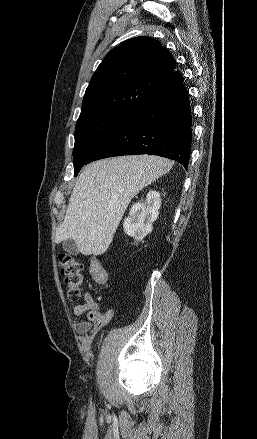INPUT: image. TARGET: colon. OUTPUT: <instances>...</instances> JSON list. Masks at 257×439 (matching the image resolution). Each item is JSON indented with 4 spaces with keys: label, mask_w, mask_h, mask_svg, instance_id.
<instances>
[{
    "label": "colon",
    "mask_w": 257,
    "mask_h": 439,
    "mask_svg": "<svg viewBox=\"0 0 257 439\" xmlns=\"http://www.w3.org/2000/svg\"><path fill=\"white\" fill-rule=\"evenodd\" d=\"M58 265L65 285L67 299L72 303L78 302L82 297L83 288L82 263L70 254L60 253L58 255ZM91 274L99 285H108L107 272L98 259H93L91 262Z\"/></svg>",
    "instance_id": "obj_1"
}]
</instances>
